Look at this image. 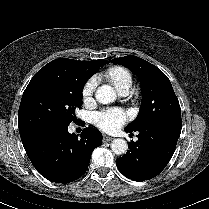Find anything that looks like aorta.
Here are the masks:
<instances>
[{
	"label": "aorta",
	"instance_id": "aorta-1",
	"mask_svg": "<svg viewBox=\"0 0 209 209\" xmlns=\"http://www.w3.org/2000/svg\"><path fill=\"white\" fill-rule=\"evenodd\" d=\"M95 97L98 102L108 104L116 99V92L113 87L102 85L96 90ZM111 149L116 155H122L126 153L128 145L124 139L118 138L112 141Z\"/></svg>",
	"mask_w": 209,
	"mask_h": 209
}]
</instances>
